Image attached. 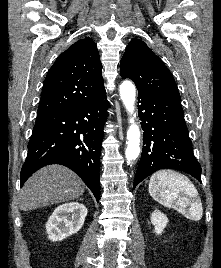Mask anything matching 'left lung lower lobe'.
Returning a JSON list of instances; mask_svg holds the SVG:
<instances>
[{
    "instance_id": "obj_1",
    "label": "left lung lower lobe",
    "mask_w": 221,
    "mask_h": 268,
    "mask_svg": "<svg viewBox=\"0 0 221 268\" xmlns=\"http://www.w3.org/2000/svg\"><path fill=\"white\" fill-rule=\"evenodd\" d=\"M138 109L144 141L133 189L163 168L184 171L201 182L180 100L138 93Z\"/></svg>"
}]
</instances>
